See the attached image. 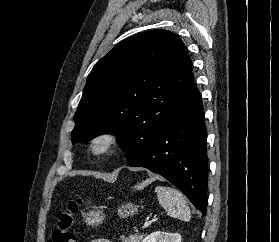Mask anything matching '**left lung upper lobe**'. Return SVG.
<instances>
[{
  "label": "left lung upper lobe",
  "mask_w": 279,
  "mask_h": 242,
  "mask_svg": "<svg viewBox=\"0 0 279 242\" xmlns=\"http://www.w3.org/2000/svg\"><path fill=\"white\" fill-rule=\"evenodd\" d=\"M192 79L187 48L174 33L152 30L121 41L87 78L72 142L111 133L128 161L136 158L182 104Z\"/></svg>",
  "instance_id": "1"
}]
</instances>
